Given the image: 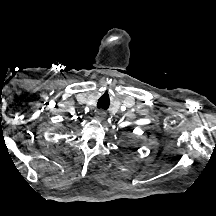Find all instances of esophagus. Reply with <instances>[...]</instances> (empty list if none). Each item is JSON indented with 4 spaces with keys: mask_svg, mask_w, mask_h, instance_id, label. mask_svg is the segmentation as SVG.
<instances>
[{
    "mask_svg": "<svg viewBox=\"0 0 216 216\" xmlns=\"http://www.w3.org/2000/svg\"><path fill=\"white\" fill-rule=\"evenodd\" d=\"M105 117V112L103 110H98L94 116V119L101 121Z\"/></svg>",
    "mask_w": 216,
    "mask_h": 216,
    "instance_id": "34e87169",
    "label": "esophagus"
}]
</instances>
